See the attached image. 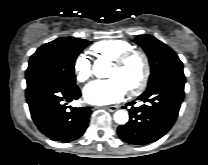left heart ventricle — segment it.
Returning <instances> with one entry per match:
<instances>
[{"label":"left heart ventricle","instance_id":"b2bd125f","mask_svg":"<svg viewBox=\"0 0 208 165\" xmlns=\"http://www.w3.org/2000/svg\"><path fill=\"white\" fill-rule=\"evenodd\" d=\"M143 63L140 57L134 56L127 61L125 65L117 68L113 65L107 73V77L118 78L125 86L126 90L136 85L142 77Z\"/></svg>","mask_w":208,"mask_h":165}]
</instances>
